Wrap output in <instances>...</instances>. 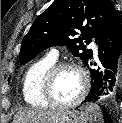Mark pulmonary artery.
I'll return each mask as SVG.
<instances>
[{
    "instance_id": "obj_1",
    "label": "pulmonary artery",
    "mask_w": 122,
    "mask_h": 123,
    "mask_svg": "<svg viewBox=\"0 0 122 123\" xmlns=\"http://www.w3.org/2000/svg\"><path fill=\"white\" fill-rule=\"evenodd\" d=\"M91 48L93 50L94 55L97 56L98 50H97L96 44L95 43H91ZM48 56L50 58L54 59V60H57L58 59V56H59V53H58V51L56 49H53V50L50 51V53L48 54Z\"/></svg>"
}]
</instances>
